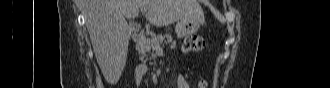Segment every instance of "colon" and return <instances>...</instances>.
Listing matches in <instances>:
<instances>
[{
	"label": "colon",
	"mask_w": 330,
	"mask_h": 88,
	"mask_svg": "<svg viewBox=\"0 0 330 88\" xmlns=\"http://www.w3.org/2000/svg\"><path fill=\"white\" fill-rule=\"evenodd\" d=\"M205 46V40L200 35H190L188 36L182 45V49L185 53H197L201 51ZM199 87L205 88L206 84L200 82Z\"/></svg>",
	"instance_id": "1"
}]
</instances>
